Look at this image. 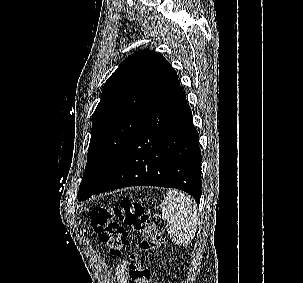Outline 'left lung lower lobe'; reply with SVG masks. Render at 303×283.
<instances>
[{
  "instance_id": "obj_1",
  "label": "left lung lower lobe",
  "mask_w": 303,
  "mask_h": 283,
  "mask_svg": "<svg viewBox=\"0 0 303 283\" xmlns=\"http://www.w3.org/2000/svg\"><path fill=\"white\" fill-rule=\"evenodd\" d=\"M201 159L192 112L171 68L111 175L97 189L78 194V200L118 188L147 185L186 191L199 204Z\"/></svg>"
}]
</instances>
